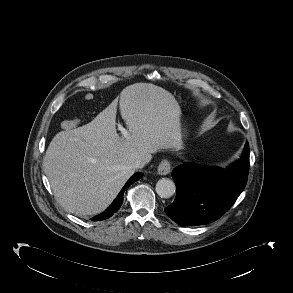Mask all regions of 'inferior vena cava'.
<instances>
[{
    "mask_svg": "<svg viewBox=\"0 0 293 293\" xmlns=\"http://www.w3.org/2000/svg\"><path fill=\"white\" fill-rule=\"evenodd\" d=\"M151 158H152V156L149 154L146 157L137 159L133 164V168H135V169L143 168L147 163H149Z\"/></svg>",
    "mask_w": 293,
    "mask_h": 293,
    "instance_id": "inferior-vena-cava-1",
    "label": "inferior vena cava"
}]
</instances>
